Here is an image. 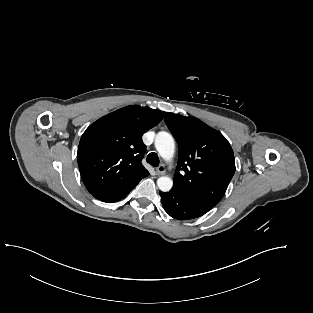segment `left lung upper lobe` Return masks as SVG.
<instances>
[{
  "label": "left lung upper lobe",
  "mask_w": 313,
  "mask_h": 313,
  "mask_svg": "<svg viewBox=\"0 0 313 313\" xmlns=\"http://www.w3.org/2000/svg\"><path fill=\"white\" fill-rule=\"evenodd\" d=\"M164 119L179 146L172 189L215 206L235 172L229 142L195 117L164 112Z\"/></svg>",
  "instance_id": "5c2ea615"
}]
</instances>
